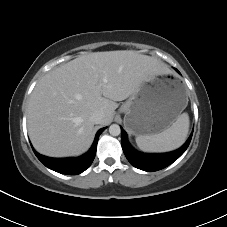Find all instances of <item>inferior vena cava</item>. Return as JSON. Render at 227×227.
Returning <instances> with one entry per match:
<instances>
[{
  "instance_id": "obj_1",
  "label": "inferior vena cava",
  "mask_w": 227,
  "mask_h": 227,
  "mask_svg": "<svg viewBox=\"0 0 227 227\" xmlns=\"http://www.w3.org/2000/svg\"><path fill=\"white\" fill-rule=\"evenodd\" d=\"M102 119L103 114L100 111H96L90 116V121L94 124H100Z\"/></svg>"
}]
</instances>
